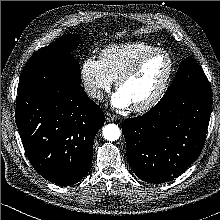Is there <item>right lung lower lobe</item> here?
<instances>
[{
    "instance_id": "1",
    "label": "right lung lower lobe",
    "mask_w": 220,
    "mask_h": 220,
    "mask_svg": "<svg viewBox=\"0 0 220 220\" xmlns=\"http://www.w3.org/2000/svg\"><path fill=\"white\" fill-rule=\"evenodd\" d=\"M16 123L35 170L53 183L69 186L91 166L104 113L81 86H75L18 95Z\"/></svg>"
}]
</instances>
